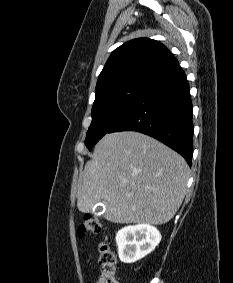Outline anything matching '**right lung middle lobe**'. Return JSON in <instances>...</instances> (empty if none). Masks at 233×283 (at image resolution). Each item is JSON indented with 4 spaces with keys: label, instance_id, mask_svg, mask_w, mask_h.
Listing matches in <instances>:
<instances>
[{
    "label": "right lung middle lobe",
    "instance_id": "dd1d6c3e",
    "mask_svg": "<svg viewBox=\"0 0 233 283\" xmlns=\"http://www.w3.org/2000/svg\"><path fill=\"white\" fill-rule=\"evenodd\" d=\"M149 83L145 80H131L96 92L92 122L85 139L89 150L109 132Z\"/></svg>",
    "mask_w": 233,
    "mask_h": 283
}]
</instances>
